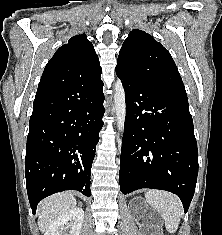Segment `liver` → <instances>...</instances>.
<instances>
[{
  "mask_svg": "<svg viewBox=\"0 0 222 235\" xmlns=\"http://www.w3.org/2000/svg\"><path fill=\"white\" fill-rule=\"evenodd\" d=\"M76 207V199L71 192L54 194L44 200L38 206V227L45 232L49 224L58 216L73 210Z\"/></svg>",
  "mask_w": 222,
  "mask_h": 235,
  "instance_id": "liver-1",
  "label": "liver"
}]
</instances>
